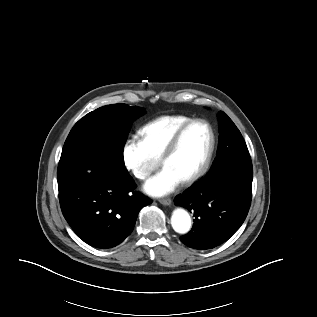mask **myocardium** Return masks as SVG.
I'll return each mask as SVG.
<instances>
[{
  "label": "myocardium",
  "mask_w": 317,
  "mask_h": 317,
  "mask_svg": "<svg viewBox=\"0 0 317 317\" xmlns=\"http://www.w3.org/2000/svg\"><path fill=\"white\" fill-rule=\"evenodd\" d=\"M195 124H203L207 127L209 136H210V141H209V146L204 156V159L201 162L198 169L191 176L181 181L182 184L184 185H192L196 183L198 180H200L204 176V174L207 172L210 166L213 153L215 150V143H216L215 133L211 124L207 120L200 119V118L190 120L175 133V135L171 139L169 145L167 146L166 150L164 151L161 157V163L162 165H165L166 161L169 158H171L177 151L185 133Z\"/></svg>",
  "instance_id": "obj_1"
}]
</instances>
